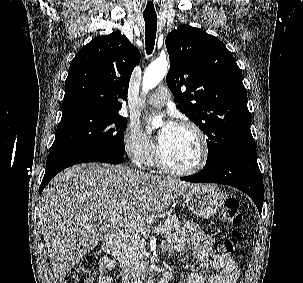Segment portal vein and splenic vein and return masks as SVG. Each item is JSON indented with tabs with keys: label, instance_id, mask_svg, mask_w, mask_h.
Here are the masks:
<instances>
[{
	"label": "portal vein and splenic vein",
	"instance_id": "obj_1",
	"mask_svg": "<svg viewBox=\"0 0 303 283\" xmlns=\"http://www.w3.org/2000/svg\"><path fill=\"white\" fill-rule=\"evenodd\" d=\"M108 221L112 225H118V226L125 227V228H129V227H132V226H139V224L136 223V222H132L128 219L121 218V217L115 216V215L109 216ZM162 231H163V228L161 226L156 227V228L153 229V232L157 233V234L162 232Z\"/></svg>",
	"mask_w": 303,
	"mask_h": 283
}]
</instances>
